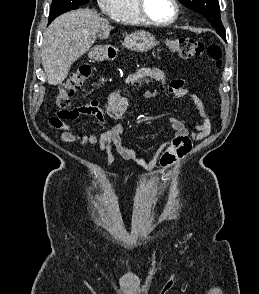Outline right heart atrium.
Masks as SVG:
<instances>
[{
  "mask_svg": "<svg viewBox=\"0 0 259 294\" xmlns=\"http://www.w3.org/2000/svg\"><path fill=\"white\" fill-rule=\"evenodd\" d=\"M98 7L105 14H112L117 0H96Z\"/></svg>",
  "mask_w": 259,
  "mask_h": 294,
  "instance_id": "right-heart-atrium-1",
  "label": "right heart atrium"
}]
</instances>
